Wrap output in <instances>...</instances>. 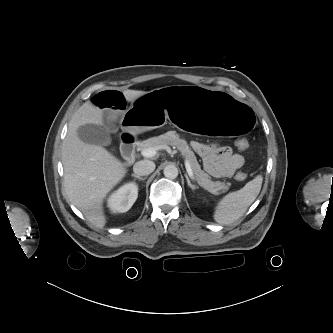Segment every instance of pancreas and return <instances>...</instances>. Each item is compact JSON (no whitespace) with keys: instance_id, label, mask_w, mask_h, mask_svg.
<instances>
[{"instance_id":"obj_1","label":"pancreas","mask_w":333,"mask_h":333,"mask_svg":"<svg viewBox=\"0 0 333 333\" xmlns=\"http://www.w3.org/2000/svg\"><path fill=\"white\" fill-rule=\"evenodd\" d=\"M168 145L179 150L181 154L189 161L196 180L204 189L215 195L226 192L228 190L230 183L225 184L224 182L220 181L212 182L210 180V176L201 170L194 152L191 150L184 139H180L179 135L175 131H168L165 134L142 141L138 147L142 151L149 147L162 149Z\"/></svg>"}]
</instances>
